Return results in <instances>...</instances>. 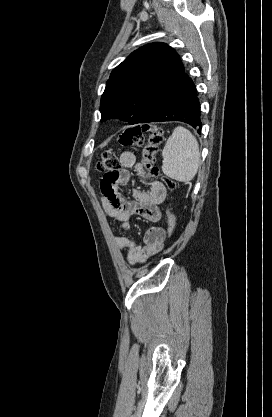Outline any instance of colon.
I'll return each instance as SVG.
<instances>
[{"label":"colon","instance_id":"5ec220e1","mask_svg":"<svg viewBox=\"0 0 272 417\" xmlns=\"http://www.w3.org/2000/svg\"><path fill=\"white\" fill-rule=\"evenodd\" d=\"M145 135L147 142L143 148L142 166L147 172L150 180L159 177V171L155 166L156 156L159 146L163 141L162 129L154 124H145L143 126H135L123 130L118 137V142L125 148H139L144 144ZM120 158L113 150L105 151L99 162L97 169L106 174H115L120 170ZM169 189H174V184L169 180H164ZM176 227V216L173 212H168L166 235L169 237Z\"/></svg>","mask_w":272,"mask_h":417}]
</instances>
